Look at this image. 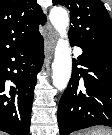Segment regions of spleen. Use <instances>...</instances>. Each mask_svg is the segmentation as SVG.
Instances as JSON below:
<instances>
[{
    "mask_svg": "<svg viewBox=\"0 0 112 135\" xmlns=\"http://www.w3.org/2000/svg\"><path fill=\"white\" fill-rule=\"evenodd\" d=\"M77 135H112V130L105 127H96L85 133H77Z\"/></svg>",
    "mask_w": 112,
    "mask_h": 135,
    "instance_id": "obj_1",
    "label": "spleen"
}]
</instances>
